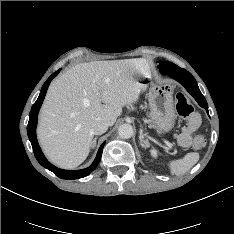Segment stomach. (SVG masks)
Returning <instances> with one entry per match:
<instances>
[{"label": "stomach", "instance_id": "stomach-1", "mask_svg": "<svg viewBox=\"0 0 234 234\" xmlns=\"http://www.w3.org/2000/svg\"><path fill=\"white\" fill-rule=\"evenodd\" d=\"M142 91L148 90L150 119L158 133L169 132L175 124L176 111L173 100V86L170 83L155 84L150 75L140 76Z\"/></svg>", "mask_w": 234, "mask_h": 234}]
</instances>
